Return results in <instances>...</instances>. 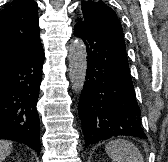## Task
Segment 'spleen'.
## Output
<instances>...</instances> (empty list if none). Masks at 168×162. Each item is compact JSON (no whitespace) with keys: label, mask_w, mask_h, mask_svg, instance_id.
I'll use <instances>...</instances> for the list:
<instances>
[{"label":"spleen","mask_w":168,"mask_h":162,"mask_svg":"<svg viewBox=\"0 0 168 162\" xmlns=\"http://www.w3.org/2000/svg\"><path fill=\"white\" fill-rule=\"evenodd\" d=\"M105 150L114 162H144L139 149L125 139L110 141L105 146Z\"/></svg>","instance_id":"3e777b00"}]
</instances>
